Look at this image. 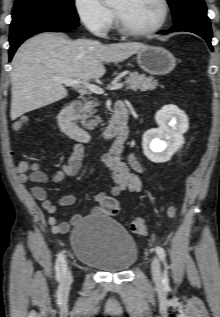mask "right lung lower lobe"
<instances>
[{"label": "right lung lower lobe", "instance_id": "1", "mask_svg": "<svg viewBox=\"0 0 220 317\" xmlns=\"http://www.w3.org/2000/svg\"><path fill=\"white\" fill-rule=\"evenodd\" d=\"M78 25V22L57 16H40L25 19L15 26H11L9 60L19 45L29 37L47 31L65 32L78 27Z\"/></svg>", "mask_w": 220, "mask_h": 317}]
</instances>
